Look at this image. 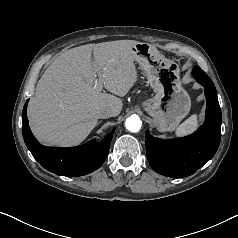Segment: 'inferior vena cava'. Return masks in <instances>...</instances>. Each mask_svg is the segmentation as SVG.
<instances>
[{"label": "inferior vena cava", "mask_w": 238, "mask_h": 238, "mask_svg": "<svg viewBox=\"0 0 238 238\" xmlns=\"http://www.w3.org/2000/svg\"><path fill=\"white\" fill-rule=\"evenodd\" d=\"M112 115H113V110L108 107L101 108L98 111L99 118H109V117H112Z\"/></svg>", "instance_id": "obj_1"}]
</instances>
